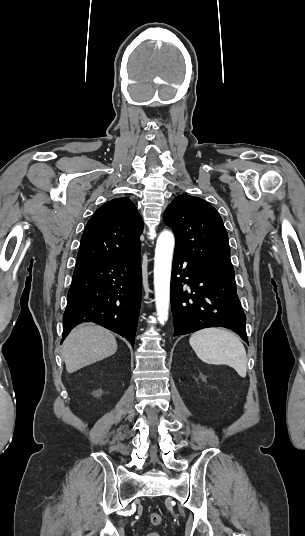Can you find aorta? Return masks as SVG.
<instances>
[{
	"label": "aorta",
	"instance_id": "1",
	"mask_svg": "<svg viewBox=\"0 0 305 536\" xmlns=\"http://www.w3.org/2000/svg\"><path fill=\"white\" fill-rule=\"evenodd\" d=\"M175 238L171 231L160 233L154 257V290L157 317L164 325L169 316L170 280Z\"/></svg>",
	"mask_w": 305,
	"mask_h": 536
}]
</instances>
